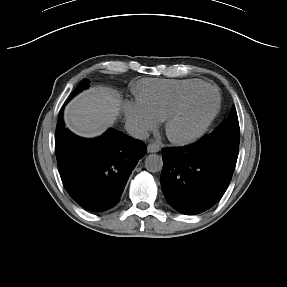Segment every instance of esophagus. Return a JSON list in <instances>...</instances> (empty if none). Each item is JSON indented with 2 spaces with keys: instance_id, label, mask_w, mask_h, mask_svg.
Here are the masks:
<instances>
[{
  "instance_id": "1",
  "label": "esophagus",
  "mask_w": 287,
  "mask_h": 287,
  "mask_svg": "<svg viewBox=\"0 0 287 287\" xmlns=\"http://www.w3.org/2000/svg\"><path fill=\"white\" fill-rule=\"evenodd\" d=\"M147 150L149 153H156L160 150V146L156 143H151L147 146Z\"/></svg>"
}]
</instances>
